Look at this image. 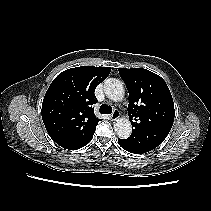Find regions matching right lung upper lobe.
<instances>
[{"label":"right lung upper lobe","instance_id":"obj_1","mask_svg":"<svg viewBox=\"0 0 211 211\" xmlns=\"http://www.w3.org/2000/svg\"><path fill=\"white\" fill-rule=\"evenodd\" d=\"M111 68L81 66L60 73L49 86L42 103V119L48 134L65 149L87 145L101 119L94 115L95 88Z\"/></svg>","mask_w":211,"mask_h":211}]
</instances>
